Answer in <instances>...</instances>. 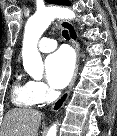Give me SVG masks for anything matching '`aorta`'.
Here are the masks:
<instances>
[{"instance_id": "762f6f07", "label": "aorta", "mask_w": 117, "mask_h": 136, "mask_svg": "<svg viewBox=\"0 0 117 136\" xmlns=\"http://www.w3.org/2000/svg\"><path fill=\"white\" fill-rule=\"evenodd\" d=\"M56 18H75L73 11L67 8L46 7L31 16L25 26L22 47L23 66L27 73L35 79L43 75V61L37 45L44 31ZM47 136H57V126L52 125Z\"/></svg>"}]
</instances>
